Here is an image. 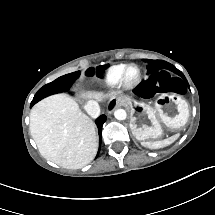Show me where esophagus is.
I'll use <instances>...</instances> for the list:
<instances>
[{"instance_id":"34e87169","label":"esophagus","mask_w":215,"mask_h":215,"mask_svg":"<svg viewBox=\"0 0 215 215\" xmlns=\"http://www.w3.org/2000/svg\"><path fill=\"white\" fill-rule=\"evenodd\" d=\"M120 104V101L117 98H112L107 105V112L111 114Z\"/></svg>"}]
</instances>
